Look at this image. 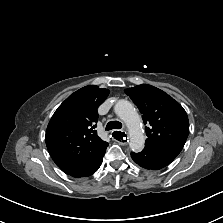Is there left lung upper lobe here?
I'll use <instances>...</instances> for the list:
<instances>
[{
	"instance_id": "left-lung-upper-lobe-1",
	"label": "left lung upper lobe",
	"mask_w": 223,
	"mask_h": 223,
	"mask_svg": "<svg viewBox=\"0 0 223 223\" xmlns=\"http://www.w3.org/2000/svg\"><path fill=\"white\" fill-rule=\"evenodd\" d=\"M125 93L143 114L148 136L145 146L177 156L189 134V121L183 107L164 91L147 84L128 88Z\"/></svg>"
}]
</instances>
